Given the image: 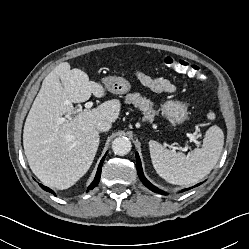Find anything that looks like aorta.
<instances>
[{
	"label": "aorta",
	"instance_id": "1",
	"mask_svg": "<svg viewBox=\"0 0 249 249\" xmlns=\"http://www.w3.org/2000/svg\"><path fill=\"white\" fill-rule=\"evenodd\" d=\"M131 147V141L127 137H117L112 142L113 152L120 156L128 154Z\"/></svg>",
	"mask_w": 249,
	"mask_h": 249
}]
</instances>
